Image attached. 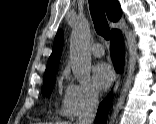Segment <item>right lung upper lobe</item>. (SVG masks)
<instances>
[{
	"mask_svg": "<svg viewBox=\"0 0 156 124\" xmlns=\"http://www.w3.org/2000/svg\"><path fill=\"white\" fill-rule=\"evenodd\" d=\"M101 1L108 18L114 22L118 21L122 15V10L119 2L117 0H101ZM62 48H63V32L62 30H59L55 36L52 54L49 57L44 77L56 74L62 53Z\"/></svg>",
	"mask_w": 156,
	"mask_h": 124,
	"instance_id": "cb5924a9",
	"label": "right lung upper lobe"
}]
</instances>
